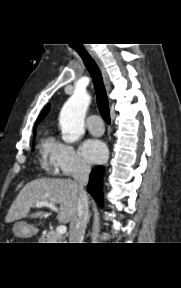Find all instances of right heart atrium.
<instances>
[{
	"label": "right heart atrium",
	"mask_w": 181,
	"mask_h": 288,
	"mask_svg": "<svg viewBox=\"0 0 181 288\" xmlns=\"http://www.w3.org/2000/svg\"><path fill=\"white\" fill-rule=\"evenodd\" d=\"M47 158L51 168L61 176H73L90 170L89 163L68 143L52 141L47 149Z\"/></svg>",
	"instance_id": "right-heart-atrium-1"
}]
</instances>
